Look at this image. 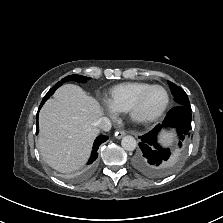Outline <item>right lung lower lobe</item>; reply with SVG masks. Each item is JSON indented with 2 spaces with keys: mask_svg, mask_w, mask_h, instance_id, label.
<instances>
[{
  "mask_svg": "<svg viewBox=\"0 0 223 223\" xmlns=\"http://www.w3.org/2000/svg\"><path fill=\"white\" fill-rule=\"evenodd\" d=\"M46 100L47 99H43L42 100V102L40 104V107H39V110H40V108L42 107V105L44 104V102ZM39 110H38V112H39ZM38 131H39V127H38V113H37V116H36V133H38ZM107 139H108V137L107 136H103V135L96 138V140L94 142V145H93V150H92V153H91V157H90V159L88 161V165H90L89 168H88V171H90L92 169V167L94 165V162L97 159V156H98L97 150H98L99 146L103 142H105Z\"/></svg>",
  "mask_w": 223,
  "mask_h": 223,
  "instance_id": "right-lung-lower-lobe-1",
  "label": "right lung lower lobe"
}]
</instances>
